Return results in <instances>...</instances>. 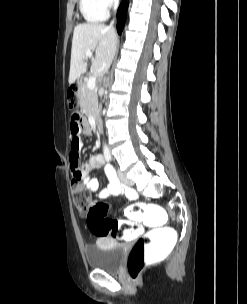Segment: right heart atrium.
<instances>
[{
	"label": "right heart atrium",
	"instance_id": "obj_1",
	"mask_svg": "<svg viewBox=\"0 0 247 304\" xmlns=\"http://www.w3.org/2000/svg\"><path fill=\"white\" fill-rule=\"evenodd\" d=\"M117 1L118 0H99L101 6L106 10H109L110 8L115 6L117 4Z\"/></svg>",
	"mask_w": 247,
	"mask_h": 304
}]
</instances>
